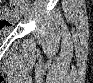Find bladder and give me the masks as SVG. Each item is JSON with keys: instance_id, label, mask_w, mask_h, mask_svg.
Wrapping results in <instances>:
<instances>
[{"instance_id": "bladder-1", "label": "bladder", "mask_w": 93, "mask_h": 83, "mask_svg": "<svg viewBox=\"0 0 93 83\" xmlns=\"http://www.w3.org/2000/svg\"><path fill=\"white\" fill-rule=\"evenodd\" d=\"M10 28L8 27H5V28H1V31H2V34L6 35V34H9L10 33Z\"/></svg>"}]
</instances>
